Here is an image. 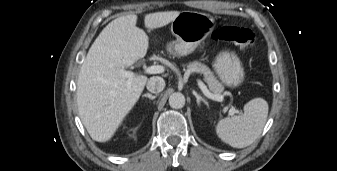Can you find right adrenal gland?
I'll return each instance as SVG.
<instances>
[{"mask_svg": "<svg viewBox=\"0 0 337 171\" xmlns=\"http://www.w3.org/2000/svg\"><path fill=\"white\" fill-rule=\"evenodd\" d=\"M142 97H147V98H149L151 100H154L157 97V95H152L150 93H147V94H144Z\"/></svg>", "mask_w": 337, "mask_h": 171, "instance_id": "right-adrenal-gland-1", "label": "right adrenal gland"}]
</instances>
